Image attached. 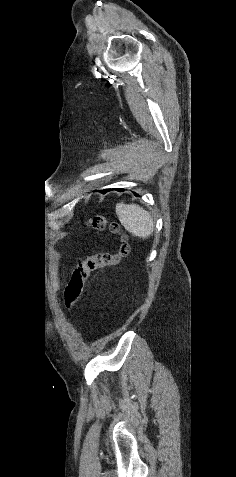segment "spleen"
<instances>
[{
	"label": "spleen",
	"instance_id": "spleen-1",
	"mask_svg": "<svg viewBox=\"0 0 236 477\" xmlns=\"http://www.w3.org/2000/svg\"><path fill=\"white\" fill-rule=\"evenodd\" d=\"M116 214L123 227L132 235L147 238L152 235L154 221L150 213L135 204H116Z\"/></svg>",
	"mask_w": 236,
	"mask_h": 477
}]
</instances>
